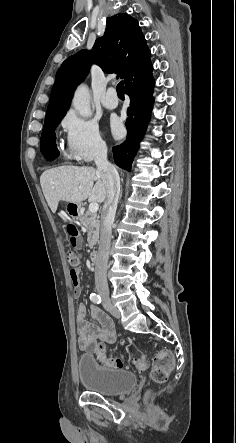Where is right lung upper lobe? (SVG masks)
I'll return each instance as SVG.
<instances>
[{
	"label": "right lung upper lobe",
	"instance_id": "obj_1",
	"mask_svg": "<svg viewBox=\"0 0 236 443\" xmlns=\"http://www.w3.org/2000/svg\"><path fill=\"white\" fill-rule=\"evenodd\" d=\"M150 54L137 20L126 13L108 17L105 33L92 50H81L62 63L45 120L66 113L76 86L85 79L92 63L105 73H118L127 82L150 65Z\"/></svg>",
	"mask_w": 236,
	"mask_h": 443
}]
</instances>
